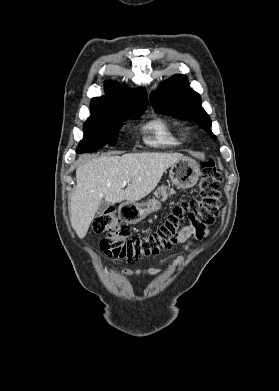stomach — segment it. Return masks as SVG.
I'll return each instance as SVG.
<instances>
[{"label":"stomach","instance_id":"1","mask_svg":"<svg viewBox=\"0 0 279 391\" xmlns=\"http://www.w3.org/2000/svg\"><path fill=\"white\" fill-rule=\"evenodd\" d=\"M171 182L178 189L193 187L200 176L199 164L192 158L184 157L170 167ZM161 207L160 201L151 199L145 203L125 202L119 206V217L126 223L136 224Z\"/></svg>","mask_w":279,"mask_h":391}]
</instances>
